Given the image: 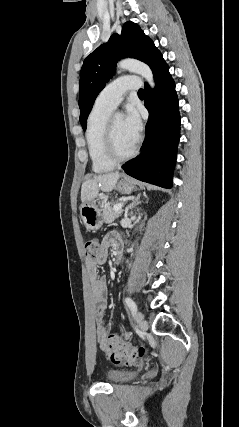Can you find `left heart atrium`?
<instances>
[{"mask_svg":"<svg viewBox=\"0 0 239 427\" xmlns=\"http://www.w3.org/2000/svg\"><path fill=\"white\" fill-rule=\"evenodd\" d=\"M126 132L134 142H137L141 131V121L138 112L133 107H128L123 117Z\"/></svg>","mask_w":239,"mask_h":427,"instance_id":"obj_1","label":"left heart atrium"}]
</instances>
